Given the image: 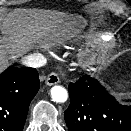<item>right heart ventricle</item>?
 Segmentation results:
<instances>
[{
    "label": "right heart ventricle",
    "instance_id": "1",
    "mask_svg": "<svg viewBox=\"0 0 131 131\" xmlns=\"http://www.w3.org/2000/svg\"><path fill=\"white\" fill-rule=\"evenodd\" d=\"M88 39L92 42H99L106 39V35L101 32H96L88 36Z\"/></svg>",
    "mask_w": 131,
    "mask_h": 131
}]
</instances>
